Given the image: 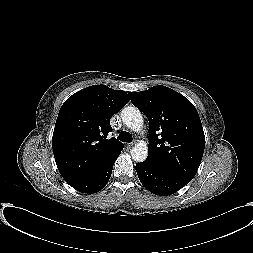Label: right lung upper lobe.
<instances>
[{
  "label": "right lung upper lobe",
  "mask_w": 253,
  "mask_h": 253,
  "mask_svg": "<svg viewBox=\"0 0 253 253\" xmlns=\"http://www.w3.org/2000/svg\"><path fill=\"white\" fill-rule=\"evenodd\" d=\"M129 94L94 85L76 92L62 105L52 137L55 161L68 182L103 166L123 146L106 139L111 117L129 101Z\"/></svg>",
  "instance_id": "right-lung-upper-lobe-1"
}]
</instances>
